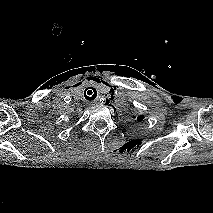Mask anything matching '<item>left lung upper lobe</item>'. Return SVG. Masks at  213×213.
Masks as SVG:
<instances>
[{
  "label": "left lung upper lobe",
  "mask_w": 213,
  "mask_h": 213,
  "mask_svg": "<svg viewBox=\"0 0 213 213\" xmlns=\"http://www.w3.org/2000/svg\"><path fill=\"white\" fill-rule=\"evenodd\" d=\"M143 118H144V116H139V117L137 118V120H138V121H141Z\"/></svg>",
  "instance_id": "5c2ea615"
}]
</instances>
